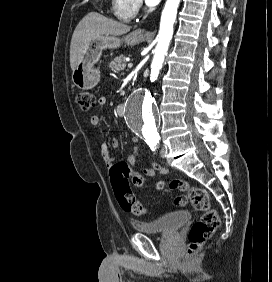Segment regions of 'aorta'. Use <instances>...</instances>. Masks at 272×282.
I'll use <instances>...</instances> for the list:
<instances>
[{
	"label": "aorta",
	"mask_w": 272,
	"mask_h": 282,
	"mask_svg": "<svg viewBox=\"0 0 272 282\" xmlns=\"http://www.w3.org/2000/svg\"><path fill=\"white\" fill-rule=\"evenodd\" d=\"M180 0H167L162 11L157 45L151 63L150 81L134 89L125 106V120L128 127L148 140H159V113L155 103L153 82L157 79L173 36V25Z\"/></svg>",
	"instance_id": "762f6f07"
}]
</instances>
